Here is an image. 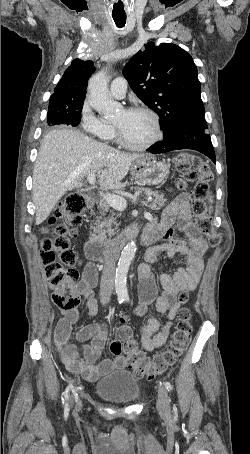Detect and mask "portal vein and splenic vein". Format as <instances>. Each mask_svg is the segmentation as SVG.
<instances>
[{
  "label": "portal vein and splenic vein",
  "instance_id": "1",
  "mask_svg": "<svg viewBox=\"0 0 250 454\" xmlns=\"http://www.w3.org/2000/svg\"><path fill=\"white\" fill-rule=\"evenodd\" d=\"M96 181V175L95 174H89L87 176V182L91 185H94ZM100 195L102 196L103 200L112 208H114L117 211H123L127 207V202L126 200L116 194H110V193H103L100 192Z\"/></svg>",
  "mask_w": 250,
  "mask_h": 454
}]
</instances>
